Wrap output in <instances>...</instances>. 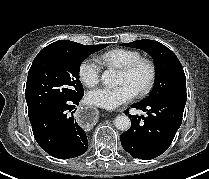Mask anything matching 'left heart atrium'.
I'll return each mask as SVG.
<instances>
[{"mask_svg": "<svg viewBox=\"0 0 209 179\" xmlns=\"http://www.w3.org/2000/svg\"><path fill=\"white\" fill-rule=\"evenodd\" d=\"M135 95V90L124 83L114 88L92 90L87 94V100L90 104L111 110L132 100Z\"/></svg>", "mask_w": 209, "mask_h": 179, "instance_id": "obj_1", "label": "left heart atrium"}]
</instances>
